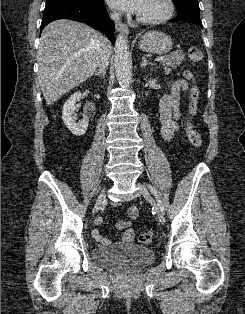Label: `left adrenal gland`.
<instances>
[{"label": "left adrenal gland", "mask_w": 245, "mask_h": 314, "mask_svg": "<svg viewBox=\"0 0 245 314\" xmlns=\"http://www.w3.org/2000/svg\"><path fill=\"white\" fill-rule=\"evenodd\" d=\"M147 65H151L153 66L152 62L147 61L146 57H142V61H141V67H146Z\"/></svg>", "instance_id": "left-adrenal-gland-1"}]
</instances>
